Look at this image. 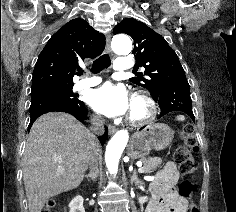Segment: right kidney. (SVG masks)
I'll use <instances>...</instances> for the list:
<instances>
[{
  "label": "right kidney",
  "instance_id": "1",
  "mask_svg": "<svg viewBox=\"0 0 236 212\" xmlns=\"http://www.w3.org/2000/svg\"><path fill=\"white\" fill-rule=\"evenodd\" d=\"M69 212H85V209L83 207V197L82 196H76L71 200L69 203Z\"/></svg>",
  "mask_w": 236,
  "mask_h": 212
}]
</instances>
